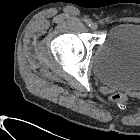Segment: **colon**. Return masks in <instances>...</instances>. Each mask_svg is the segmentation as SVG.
Returning <instances> with one entry per match:
<instances>
[{"label": "colon", "mask_w": 140, "mask_h": 140, "mask_svg": "<svg viewBox=\"0 0 140 140\" xmlns=\"http://www.w3.org/2000/svg\"><path fill=\"white\" fill-rule=\"evenodd\" d=\"M111 100L115 103L121 104L127 101V95L121 92H116L111 95Z\"/></svg>", "instance_id": "colon-1"}]
</instances>
